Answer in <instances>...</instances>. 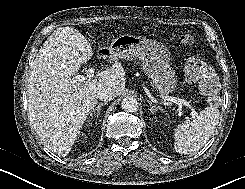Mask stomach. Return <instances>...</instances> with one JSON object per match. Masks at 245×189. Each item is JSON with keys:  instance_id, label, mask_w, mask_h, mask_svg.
<instances>
[{"instance_id": "0dacf381", "label": "stomach", "mask_w": 245, "mask_h": 189, "mask_svg": "<svg viewBox=\"0 0 245 189\" xmlns=\"http://www.w3.org/2000/svg\"><path fill=\"white\" fill-rule=\"evenodd\" d=\"M116 59L139 60L152 86L161 95L173 92L177 76L172 68V58L165 45L143 36L120 35L109 47L102 48Z\"/></svg>"}]
</instances>
